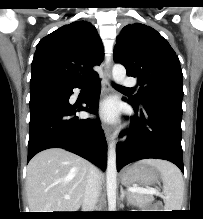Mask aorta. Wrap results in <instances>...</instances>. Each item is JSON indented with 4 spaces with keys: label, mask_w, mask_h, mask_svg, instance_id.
Here are the masks:
<instances>
[{
    "label": "aorta",
    "mask_w": 203,
    "mask_h": 219,
    "mask_svg": "<svg viewBox=\"0 0 203 219\" xmlns=\"http://www.w3.org/2000/svg\"><path fill=\"white\" fill-rule=\"evenodd\" d=\"M112 76L117 84H121L126 77V69L121 64H115L112 69ZM116 177V144L115 141H112L109 144L106 171L107 195L109 200L116 198Z\"/></svg>",
    "instance_id": "1"
}]
</instances>
